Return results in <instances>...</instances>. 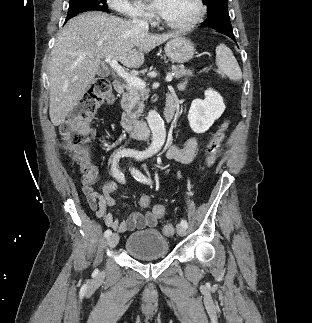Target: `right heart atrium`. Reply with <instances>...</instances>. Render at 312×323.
I'll return each instance as SVG.
<instances>
[{"instance_id": "1", "label": "right heart atrium", "mask_w": 312, "mask_h": 323, "mask_svg": "<svg viewBox=\"0 0 312 323\" xmlns=\"http://www.w3.org/2000/svg\"><path fill=\"white\" fill-rule=\"evenodd\" d=\"M105 5H109L111 13H121L122 17H130L132 22H136L138 17H149V10H142L141 6H136V2H126V0H105Z\"/></svg>"}]
</instances>
